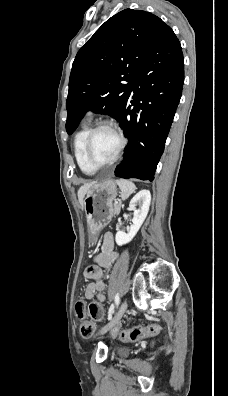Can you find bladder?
<instances>
[{
  "label": "bladder",
  "instance_id": "bladder-1",
  "mask_svg": "<svg viewBox=\"0 0 228 396\" xmlns=\"http://www.w3.org/2000/svg\"><path fill=\"white\" fill-rule=\"evenodd\" d=\"M119 352H120L121 354H124V353H126V350H125V349H121Z\"/></svg>",
  "mask_w": 228,
  "mask_h": 396
}]
</instances>
